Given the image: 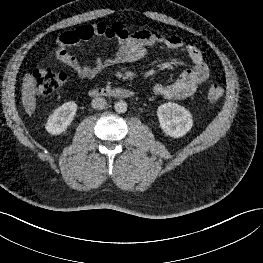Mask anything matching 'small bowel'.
Wrapping results in <instances>:
<instances>
[{
  "instance_id": "1",
  "label": "small bowel",
  "mask_w": 263,
  "mask_h": 263,
  "mask_svg": "<svg viewBox=\"0 0 263 263\" xmlns=\"http://www.w3.org/2000/svg\"><path fill=\"white\" fill-rule=\"evenodd\" d=\"M96 37H104L116 43L113 55L105 58L98 57L93 62H81L67 51L68 46L82 49L84 43ZM152 46H158L168 51L183 49L192 63V67L184 70L172 83H156L153 86L154 94L166 99H185L192 96L198 85L208 79L209 66L197 47L185 44L177 35L164 36L155 30L141 29L129 32L119 22L109 24L99 22L65 32L58 39L55 54L61 63L75 72L78 81L83 83L115 64L131 63L142 59L146 55L147 49Z\"/></svg>"
}]
</instances>
